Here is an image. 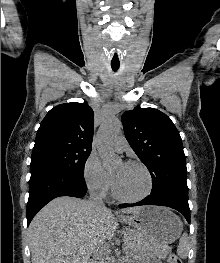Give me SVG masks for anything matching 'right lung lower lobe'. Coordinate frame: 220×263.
I'll return each mask as SVG.
<instances>
[{"label":"right lung lower lobe","mask_w":220,"mask_h":263,"mask_svg":"<svg viewBox=\"0 0 220 263\" xmlns=\"http://www.w3.org/2000/svg\"><path fill=\"white\" fill-rule=\"evenodd\" d=\"M86 192L84 177L48 167L31 168L27 226L36 213L52 199L59 196L83 197Z\"/></svg>","instance_id":"1"}]
</instances>
